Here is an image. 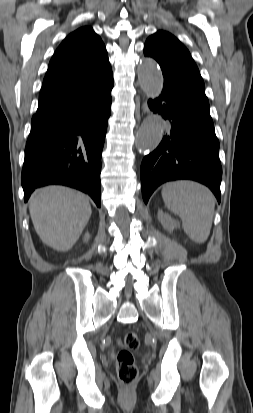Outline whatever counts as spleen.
Returning a JSON list of instances; mask_svg holds the SVG:
<instances>
[{
  "label": "spleen",
  "mask_w": 253,
  "mask_h": 413,
  "mask_svg": "<svg viewBox=\"0 0 253 413\" xmlns=\"http://www.w3.org/2000/svg\"><path fill=\"white\" fill-rule=\"evenodd\" d=\"M165 206L177 214L188 237L204 243L209 237L215 210V197L205 186L192 181L167 183L162 188Z\"/></svg>",
  "instance_id": "1"
}]
</instances>
